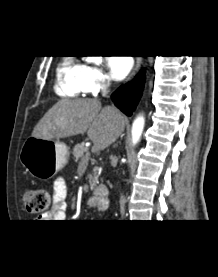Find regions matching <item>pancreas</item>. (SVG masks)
<instances>
[{"label":"pancreas","mask_w":218,"mask_h":277,"mask_svg":"<svg viewBox=\"0 0 218 277\" xmlns=\"http://www.w3.org/2000/svg\"><path fill=\"white\" fill-rule=\"evenodd\" d=\"M72 154L75 161L81 160V162H83V160H87L88 162L90 157V153L84 142L75 145ZM88 179L90 188L93 190L98 184V167L93 168V173L88 175Z\"/></svg>","instance_id":"1"}]
</instances>
